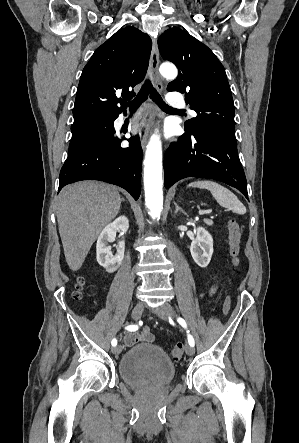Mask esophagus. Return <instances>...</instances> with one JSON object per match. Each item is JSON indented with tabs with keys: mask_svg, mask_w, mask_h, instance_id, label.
I'll use <instances>...</instances> for the list:
<instances>
[{
	"mask_svg": "<svg viewBox=\"0 0 299 443\" xmlns=\"http://www.w3.org/2000/svg\"><path fill=\"white\" fill-rule=\"evenodd\" d=\"M158 66H159V49H158L157 40L153 39L149 72L155 84V87L159 92H161L163 90V85L159 77ZM154 110L155 106L151 104V100L149 99L144 107L143 117L140 121L139 131H138L141 145L143 148L147 143L148 134L152 125Z\"/></svg>",
	"mask_w": 299,
	"mask_h": 443,
	"instance_id": "esophagus-1",
	"label": "esophagus"
}]
</instances>
